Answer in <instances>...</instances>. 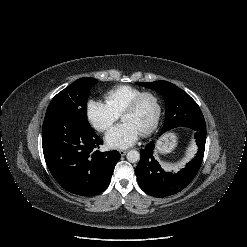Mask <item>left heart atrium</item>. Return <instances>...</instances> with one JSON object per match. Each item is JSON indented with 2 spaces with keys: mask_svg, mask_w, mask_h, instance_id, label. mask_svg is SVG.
<instances>
[{
  "mask_svg": "<svg viewBox=\"0 0 247 247\" xmlns=\"http://www.w3.org/2000/svg\"><path fill=\"white\" fill-rule=\"evenodd\" d=\"M140 132L138 129L129 122H123L122 124L113 127L105 137L106 143L111 148L124 149L133 145Z\"/></svg>",
  "mask_w": 247,
  "mask_h": 247,
  "instance_id": "obj_1",
  "label": "left heart atrium"
}]
</instances>
